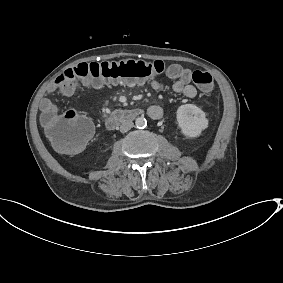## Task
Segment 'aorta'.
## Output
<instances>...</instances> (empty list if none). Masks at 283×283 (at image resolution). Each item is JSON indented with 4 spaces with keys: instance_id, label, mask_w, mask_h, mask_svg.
Segmentation results:
<instances>
[{
    "instance_id": "762f6f07",
    "label": "aorta",
    "mask_w": 283,
    "mask_h": 283,
    "mask_svg": "<svg viewBox=\"0 0 283 283\" xmlns=\"http://www.w3.org/2000/svg\"><path fill=\"white\" fill-rule=\"evenodd\" d=\"M135 125H136L137 128L143 129L147 126V121L144 117H138L135 120Z\"/></svg>"
}]
</instances>
